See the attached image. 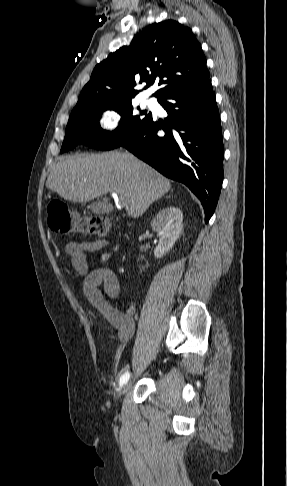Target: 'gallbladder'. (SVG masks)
<instances>
[{
	"instance_id": "bac80fb5",
	"label": "gallbladder",
	"mask_w": 287,
	"mask_h": 486,
	"mask_svg": "<svg viewBox=\"0 0 287 486\" xmlns=\"http://www.w3.org/2000/svg\"><path fill=\"white\" fill-rule=\"evenodd\" d=\"M88 208L97 215H102V214H107L112 210L111 205L102 200V201H92L89 205Z\"/></svg>"
}]
</instances>
